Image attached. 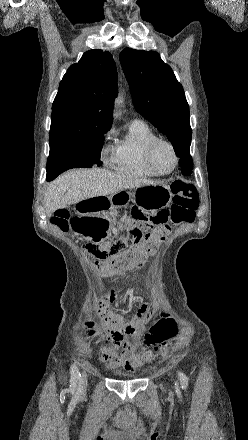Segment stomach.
I'll return each instance as SVG.
<instances>
[{
	"instance_id": "1",
	"label": "stomach",
	"mask_w": 248,
	"mask_h": 440,
	"mask_svg": "<svg viewBox=\"0 0 248 440\" xmlns=\"http://www.w3.org/2000/svg\"><path fill=\"white\" fill-rule=\"evenodd\" d=\"M101 198L84 200V204H74L73 211L78 218H71V232H77L78 237H85L86 246H102L107 241L112 225L109 223L107 208L126 207L129 201H139L149 209H162L169 205L172 192L169 186L163 183H154L138 187L134 194L127 190Z\"/></svg>"
}]
</instances>
